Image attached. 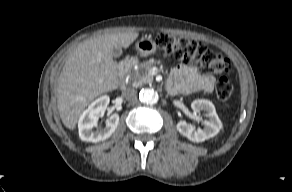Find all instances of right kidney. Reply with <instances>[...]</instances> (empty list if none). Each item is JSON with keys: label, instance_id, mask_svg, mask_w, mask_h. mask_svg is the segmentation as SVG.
Wrapping results in <instances>:
<instances>
[{"label": "right kidney", "instance_id": "obj_1", "mask_svg": "<svg viewBox=\"0 0 292 192\" xmlns=\"http://www.w3.org/2000/svg\"><path fill=\"white\" fill-rule=\"evenodd\" d=\"M107 95L94 100L88 108L82 113L79 119V137L86 142H99L109 138L116 130L119 123V115L114 113L106 120L105 128L93 130L100 116H102L109 104Z\"/></svg>", "mask_w": 292, "mask_h": 192}]
</instances>
